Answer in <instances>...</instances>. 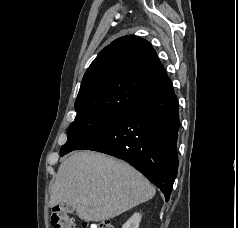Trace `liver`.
Returning <instances> with one entry per match:
<instances>
[{
    "label": "liver",
    "instance_id": "liver-1",
    "mask_svg": "<svg viewBox=\"0 0 238 228\" xmlns=\"http://www.w3.org/2000/svg\"><path fill=\"white\" fill-rule=\"evenodd\" d=\"M155 188L129 164L107 155L76 152L61 163L50 206L66 203L84 221H102L152 199Z\"/></svg>",
    "mask_w": 238,
    "mask_h": 228
}]
</instances>
